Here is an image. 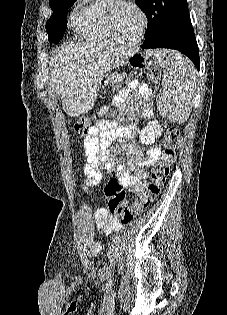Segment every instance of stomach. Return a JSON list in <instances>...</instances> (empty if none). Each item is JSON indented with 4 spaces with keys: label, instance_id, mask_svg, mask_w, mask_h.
<instances>
[{
    "label": "stomach",
    "instance_id": "0dacf381",
    "mask_svg": "<svg viewBox=\"0 0 227 315\" xmlns=\"http://www.w3.org/2000/svg\"><path fill=\"white\" fill-rule=\"evenodd\" d=\"M93 85L96 86V89L98 91H110L113 82L112 80H96L95 82H93Z\"/></svg>",
    "mask_w": 227,
    "mask_h": 315
}]
</instances>
